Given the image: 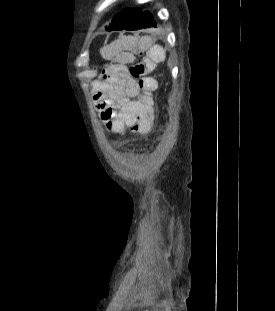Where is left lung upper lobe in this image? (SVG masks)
Here are the masks:
<instances>
[{
  "label": "left lung upper lobe",
  "mask_w": 275,
  "mask_h": 311,
  "mask_svg": "<svg viewBox=\"0 0 275 311\" xmlns=\"http://www.w3.org/2000/svg\"><path fill=\"white\" fill-rule=\"evenodd\" d=\"M140 13L141 10L137 8L123 10L113 18L111 24L108 27H106V30L108 31L123 30L128 25L133 23Z\"/></svg>",
  "instance_id": "obj_1"
}]
</instances>
